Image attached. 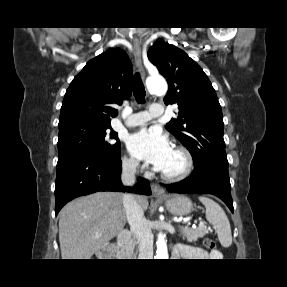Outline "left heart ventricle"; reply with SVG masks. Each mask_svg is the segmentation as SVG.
Listing matches in <instances>:
<instances>
[{"instance_id":"left-heart-ventricle-1","label":"left heart ventricle","mask_w":287,"mask_h":287,"mask_svg":"<svg viewBox=\"0 0 287 287\" xmlns=\"http://www.w3.org/2000/svg\"><path fill=\"white\" fill-rule=\"evenodd\" d=\"M184 165L185 160L182 154L171 149L161 171L170 174L178 173L184 168Z\"/></svg>"}]
</instances>
